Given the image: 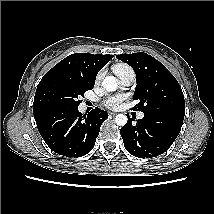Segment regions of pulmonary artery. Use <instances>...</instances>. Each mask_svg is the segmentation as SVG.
I'll return each mask as SVG.
<instances>
[{"label":"pulmonary artery","mask_w":214,"mask_h":214,"mask_svg":"<svg viewBox=\"0 0 214 214\" xmlns=\"http://www.w3.org/2000/svg\"><path fill=\"white\" fill-rule=\"evenodd\" d=\"M119 79V82L122 86H129L135 79V73L131 67L122 68L115 73ZM144 113H139L138 118L142 119Z\"/></svg>","instance_id":"e3ab8cb5"}]
</instances>
